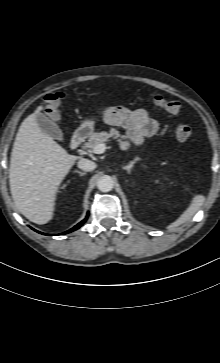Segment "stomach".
Segmentation results:
<instances>
[{"mask_svg": "<svg viewBox=\"0 0 220 363\" xmlns=\"http://www.w3.org/2000/svg\"><path fill=\"white\" fill-rule=\"evenodd\" d=\"M94 124H95L94 119H86V120L81 122V127L86 128L89 131H93L94 130Z\"/></svg>", "mask_w": 220, "mask_h": 363, "instance_id": "0dacf381", "label": "stomach"}]
</instances>
